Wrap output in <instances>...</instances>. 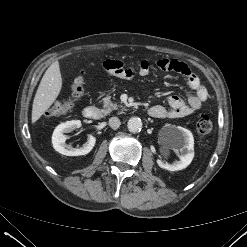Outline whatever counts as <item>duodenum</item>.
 <instances>
[{"label":"duodenum","instance_id":"1","mask_svg":"<svg viewBox=\"0 0 247 247\" xmlns=\"http://www.w3.org/2000/svg\"><path fill=\"white\" fill-rule=\"evenodd\" d=\"M83 116L87 119L98 120L102 117V112L96 106H87L83 109Z\"/></svg>","mask_w":247,"mask_h":247}]
</instances>
